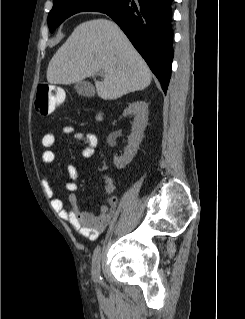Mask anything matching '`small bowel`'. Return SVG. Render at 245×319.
<instances>
[{"label": "small bowel", "mask_w": 245, "mask_h": 319, "mask_svg": "<svg viewBox=\"0 0 245 319\" xmlns=\"http://www.w3.org/2000/svg\"><path fill=\"white\" fill-rule=\"evenodd\" d=\"M63 133L66 135H72L75 139L82 141L85 144V148L82 151L84 158H91L94 155L95 149L98 145V138L92 132H76L73 126L67 125L63 128ZM56 140V134L52 131L44 134L42 138V146L44 151L42 152L43 164H52L55 160V152L52 147ZM67 174L70 181L66 183V189L69 192L68 201L70 208H66L64 202L60 198L54 197V190L46 178L44 180V187L46 195L51 198V204L53 209L59 214V216L69 222L72 228L78 232L81 237L88 238L89 240H95L110 224L111 213L108 206L102 204L100 213L94 215L84 210L78 203V198L75 192L78 189L79 172L76 166L68 164L66 167ZM115 190V184L107 178L105 181V193L110 195Z\"/></svg>", "instance_id": "small-bowel-1"}]
</instances>
